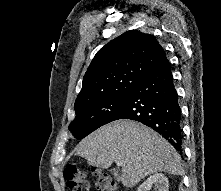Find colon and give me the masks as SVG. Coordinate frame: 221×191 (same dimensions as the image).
<instances>
[{
  "label": "colon",
  "instance_id": "obj_1",
  "mask_svg": "<svg viewBox=\"0 0 221 191\" xmlns=\"http://www.w3.org/2000/svg\"><path fill=\"white\" fill-rule=\"evenodd\" d=\"M92 175L99 191L117 190V184L109 174L93 170ZM64 178L70 191H90L86 172L80 170L75 164L67 166L64 171Z\"/></svg>",
  "mask_w": 221,
  "mask_h": 191
}]
</instances>
